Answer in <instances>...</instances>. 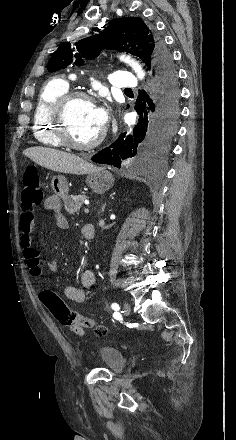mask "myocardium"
Wrapping results in <instances>:
<instances>
[{"instance_id":"myocardium-1","label":"myocardium","mask_w":236,"mask_h":440,"mask_svg":"<svg viewBox=\"0 0 236 440\" xmlns=\"http://www.w3.org/2000/svg\"><path fill=\"white\" fill-rule=\"evenodd\" d=\"M76 100H84L94 103V98L82 90H68L59 96L53 103L50 118L54 125V132L60 143L74 150H90L97 147L104 139L105 132L102 130L97 137L87 143L74 141L69 133L67 113L71 104Z\"/></svg>"}]
</instances>
